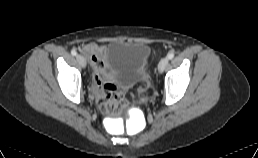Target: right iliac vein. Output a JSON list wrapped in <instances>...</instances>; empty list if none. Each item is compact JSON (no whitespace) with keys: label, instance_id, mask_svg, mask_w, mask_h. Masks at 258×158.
<instances>
[{"label":"right iliac vein","instance_id":"63e3f726","mask_svg":"<svg viewBox=\"0 0 258 158\" xmlns=\"http://www.w3.org/2000/svg\"><path fill=\"white\" fill-rule=\"evenodd\" d=\"M76 60L78 61V63L81 65V67L85 68L86 67V59L83 55L78 54L76 56Z\"/></svg>","mask_w":258,"mask_h":158}]
</instances>
